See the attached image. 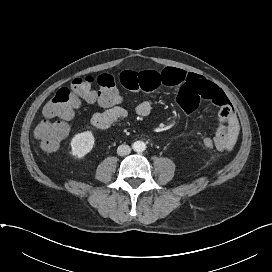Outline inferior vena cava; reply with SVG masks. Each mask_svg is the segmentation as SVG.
I'll use <instances>...</instances> for the list:
<instances>
[{"label": "inferior vena cava", "mask_w": 272, "mask_h": 272, "mask_svg": "<svg viewBox=\"0 0 272 272\" xmlns=\"http://www.w3.org/2000/svg\"><path fill=\"white\" fill-rule=\"evenodd\" d=\"M130 152H131L130 146L125 145V144H122L117 148V153L120 156H126V155L130 154Z\"/></svg>", "instance_id": "obj_1"}]
</instances>
